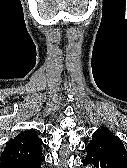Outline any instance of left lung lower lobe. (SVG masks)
Returning a JSON list of instances; mask_svg holds the SVG:
<instances>
[{"label":"left lung lower lobe","instance_id":"0a47b994","mask_svg":"<svg viewBox=\"0 0 127 168\" xmlns=\"http://www.w3.org/2000/svg\"><path fill=\"white\" fill-rule=\"evenodd\" d=\"M83 164L94 168H127V162L117 148L105 140L93 139L86 147Z\"/></svg>","mask_w":127,"mask_h":168}]
</instances>
